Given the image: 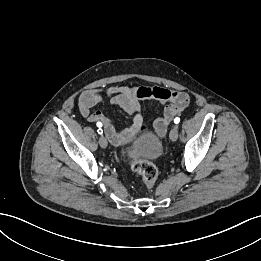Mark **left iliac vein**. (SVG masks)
<instances>
[{"instance_id":"left-iliac-vein-1","label":"left iliac vein","mask_w":261,"mask_h":261,"mask_svg":"<svg viewBox=\"0 0 261 261\" xmlns=\"http://www.w3.org/2000/svg\"><path fill=\"white\" fill-rule=\"evenodd\" d=\"M169 137L172 141H176L178 139V126L174 125L170 131Z\"/></svg>"}]
</instances>
